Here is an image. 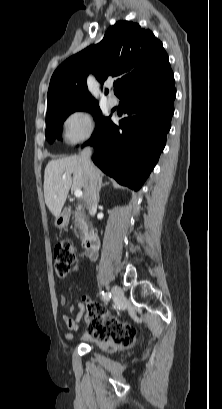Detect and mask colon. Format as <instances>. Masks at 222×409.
Returning a JSON list of instances; mask_svg holds the SVG:
<instances>
[{"instance_id": "obj_1", "label": "colon", "mask_w": 222, "mask_h": 409, "mask_svg": "<svg viewBox=\"0 0 222 409\" xmlns=\"http://www.w3.org/2000/svg\"><path fill=\"white\" fill-rule=\"evenodd\" d=\"M54 271L59 279H63L74 262V247L69 241L59 242L54 249ZM88 329L95 339H112L118 344L126 345L133 341L135 330L107 315V311L99 304L88 306Z\"/></svg>"}]
</instances>
